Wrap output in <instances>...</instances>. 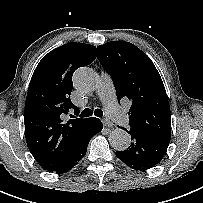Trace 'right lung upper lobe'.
<instances>
[{
	"instance_id": "1",
	"label": "right lung upper lobe",
	"mask_w": 203,
	"mask_h": 203,
	"mask_svg": "<svg viewBox=\"0 0 203 203\" xmlns=\"http://www.w3.org/2000/svg\"><path fill=\"white\" fill-rule=\"evenodd\" d=\"M95 58V46L67 43L46 54L32 75L25 102V137L31 154L45 170L55 171L63 164L91 120L65 122L63 116L69 109L79 112L70 100L74 71Z\"/></svg>"
}]
</instances>
